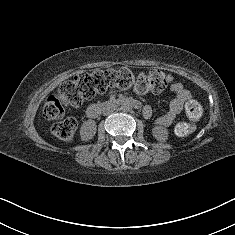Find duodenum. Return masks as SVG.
Here are the masks:
<instances>
[{
  "instance_id": "obj_1",
  "label": "duodenum",
  "mask_w": 235,
  "mask_h": 235,
  "mask_svg": "<svg viewBox=\"0 0 235 235\" xmlns=\"http://www.w3.org/2000/svg\"><path fill=\"white\" fill-rule=\"evenodd\" d=\"M121 104H130L132 106H134L135 108H139L141 106L140 102L137 100H134L132 98H119L113 101H109L108 103L105 104H93L90 105L87 109V115L89 118H96L98 117L101 112L107 108V107H111V106H115V105H121Z\"/></svg>"
}]
</instances>
